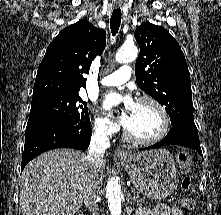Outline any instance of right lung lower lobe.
I'll list each match as a JSON object with an SVG mask.
<instances>
[{
  "label": "right lung lower lobe",
  "mask_w": 221,
  "mask_h": 215,
  "mask_svg": "<svg viewBox=\"0 0 221 215\" xmlns=\"http://www.w3.org/2000/svg\"><path fill=\"white\" fill-rule=\"evenodd\" d=\"M92 129L90 123L78 129L61 126H43L26 130L21 170L41 153L55 148L85 150L90 144Z\"/></svg>",
  "instance_id": "98d812e1"
}]
</instances>
